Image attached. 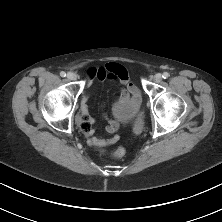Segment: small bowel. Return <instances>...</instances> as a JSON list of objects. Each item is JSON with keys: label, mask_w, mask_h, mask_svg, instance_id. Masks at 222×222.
I'll return each mask as SVG.
<instances>
[{"label": "small bowel", "mask_w": 222, "mask_h": 222, "mask_svg": "<svg viewBox=\"0 0 222 222\" xmlns=\"http://www.w3.org/2000/svg\"><path fill=\"white\" fill-rule=\"evenodd\" d=\"M89 80L92 81L97 79L99 81H104L107 79H115L121 82L125 86L124 90L121 92L119 98L114 105V113L119 117V110L127 104L129 101L132 103H137L140 94L137 87L129 81L128 74L126 70L117 64H110L107 67H93L88 71ZM88 117L90 119V126L83 128V131L88 135L89 144L95 148L105 147L109 144H113L118 141L119 137L116 134L119 129V123L115 119H110L106 125V131L113 136L111 138L105 139L95 135L92 125L94 120L90 117L88 111L87 98H85L81 105V116L82 118Z\"/></svg>", "instance_id": "small-bowel-1"}]
</instances>
